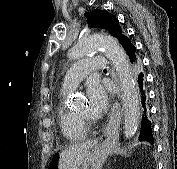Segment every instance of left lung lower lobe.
Wrapping results in <instances>:
<instances>
[{
  "label": "left lung lower lobe",
  "instance_id": "obj_1",
  "mask_svg": "<svg viewBox=\"0 0 177 169\" xmlns=\"http://www.w3.org/2000/svg\"><path fill=\"white\" fill-rule=\"evenodd\" d=\"M124 50H125L129 64H131V67L133 68V70L138 74L137 78H138V84H139V87L141 89V94H142V106L145 109L142 123H141L139 140L146 141V142H149L150 144H153L154 137L152 134V125H151L150 120L147 117V111H146L147 108L145 105L146 97H145L144 90H143L144 74L142 72V66H141V63H140V60L137 54V49L134 46V44L130 42L124 47Z\"/></svg>",
  "mask_w": 177,
  "mask_h": 169
}]
</instances>
